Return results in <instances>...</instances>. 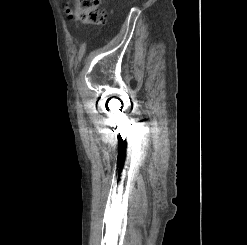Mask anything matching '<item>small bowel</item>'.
Segmentation results:
<instances>
[{"label":"small bowel","instance_id":"c3829d8e","mask_svg":"<svg viewBox=\"0 0 247 245\" xmlns=\"http://www.w3.org/2000/svg\"><path fill=\"white\" fill-rule=\"evenodd\" d=\"M65 8H66V13L68 15L69 18L73 17V13L72 10L69 7V0H65Z\"/></svg>","mask_w":247,"mask_h":245}]
</instances>
